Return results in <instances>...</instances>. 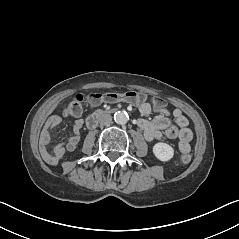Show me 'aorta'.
<instances>
[{
  "instance_id": "762f6f07",
  "label": "aorta",
  "mask_w": 239,
  "mask_h": 239,
  "mask_svg": "<svg viewBox=\"0 0 239 239\" xmlns=\"http://www.w3.org/2000/svg\"><path fill=\"white\" fill-rule=\"evenodd\" d=\"M114 120L117 124L124 125L128 122L129 115L125 111H118L117 113L114 114Z\"/></svg>"
}]
</instances>
